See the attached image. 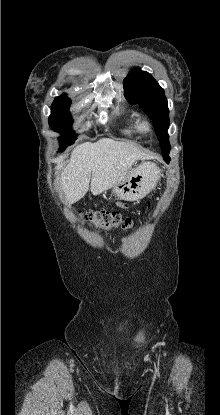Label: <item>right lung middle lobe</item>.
Listing matches in <instances>:
<instances>
[{"label":"right lung middle lobe","instance_id":"obj_1","mask_svg":"<svg viewBox=\"0 0 220 415\" xmlns=\"http://www.w3.org/2000/svg\"><path fill=\"white\" fill-rule=\"evenodd\" d=\"M70 104L71 100L65 95H61L54 100L51 106L52 114L49 117V125L54 131L62 133L59 138V151H63L67 146L74 143V140H72L74 133L70 131L72 125V118L69 113Z\"/></svg>","mask_w":220,"mask_h":415}]
</instances>
